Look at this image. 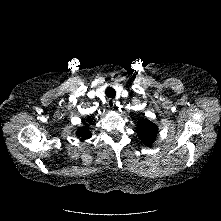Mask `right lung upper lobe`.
Instances as JSON below:
<instances>
[{"instance_id": "cb5924a9", "label": "right lung upper lobe", "mask_w": 221, "mask_h": 221, "mask_svg": "<svg viewBox=\"0 0 221 221\" xmlns=\"http://www.w3.org/2000/svg\"><path fill=\"white\" fill-rule=\"evenodd\" d=\"M91 132L88 131L85 127L80 128L77 130V136L81 137L82 139H88L91 137Z\"/></svg>"}]
</instances>
